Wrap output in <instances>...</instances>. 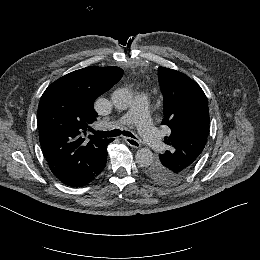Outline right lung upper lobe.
I'll return each instance as SVG.
<instances>
[{
    "instance_id": "right-lung-upper-lobe-1",
    "label": "right lung upper lobe",
    "mask_w": 260,
    "mask_h": 260,
    "mask_svg": "<svg viewBox=\"0 0 260 260\" xmlns=\"http://www.w3.org/2000/svg\"><path fill=\"white\" fill-rule=\"evenodd\" d=\"M122 75L119 67H86L59 78L43 93L37 113L40 144L61 182L85 176L106 160L113 139L85 135L97 120L95 99Z\"/></svg>"
}]
</instances>
